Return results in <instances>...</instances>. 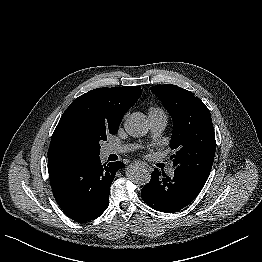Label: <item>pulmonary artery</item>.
<instances>
[{
	"label": "pulmonary artery",
	"mask_w": 262,
	"mask_h": 262,
	"mask_svg": "<svg viewBox=\"0 0 262 262\" xmlns=\"http://www.w3.org/2000/svg\"><path fill=\"white\" fill-rule=\"evenodd\" d=\"M149 121H150L151 131L156 136L161 134L163 132V130L165 129L166 125H167V118H166L165 115H150ZM129 149H130L129 146H114V145H111V146L107 147L106 152L108 154L120 153V152H125ZM173 172H174L173 167H169L167 169V173L169 175L173 174Z\"/></svg>",
	"instance_id": "e3ab8cb5"
}]
</instances>
